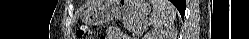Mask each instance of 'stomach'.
<instances>
[{"label": "stomach", "instance_id": "stomach-1", "mask_svg": "<svg viewBox=\"0 0 249 39\" xmlns=\"http://www.w3.org/2000/svg\"><path fill=\"white\" fill-rule=\"evenodd\" d=\"M150 8L146 0H96L83 14L90 26L106 24L114 19L142 21Z\"/></svg>", "mask_w": 249, "mask_h": 39}]
</instances>
